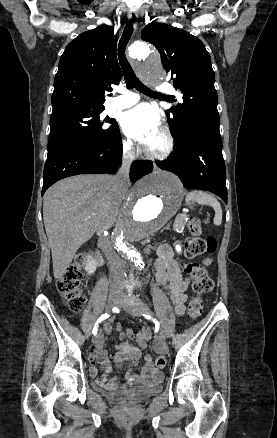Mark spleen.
<instances>
[{
	"mask_svg": "<svg viewBox=\"0 0 277 438\" xmlns=\"http://www.w3.org/2000/svg\"><path fill=\"white\" fill-rule=\"evenodd\" d=\"M190 200L197 202V204H201V206H212L215 212L213 222L215 226H221L222 208L214 196H210V194H207V192H197V190H195V192H190V194H188L186 202H190Z\"/></svg>",
	"mask_w": 277,
	"mask_h": 438,
	"instance_id": "1",
	"label": "spleen"
}]
</instances>
